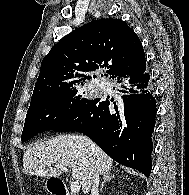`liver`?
<instances>
[{"mask_svg": "<svg viewBox=\"0 0 189 195\" xmlns=\"http://www.w3.org/2000/svg\"><path fill=\"white\" fill-rule=\"evenodd\" d=\"M60 164L72 169V178L80 183L83 193L91 189L93 175L105 174L113 160L89 138L78 134L59 135L28 148L23 156V172L29 175L56 178Z\"/></svg>", "mask_w": 189, "mask_h": 195, "instance_id": "6515ba94", "label": "liver"}]
</instances>
